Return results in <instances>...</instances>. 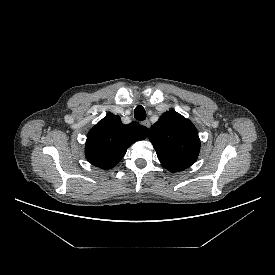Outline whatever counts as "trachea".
Here are the masks:
<instances>
[{
  "label": "trachea",
  "instance_id": "3493384b",
  "mask_svg": "<svg viewBox=\"0 0 275 275\" xmlns=\"http://www.w3.org/2000/svg\"><path fill=\"white\" fill-rule=\"evenodd\" d=\"M134 117L138 121H143L146 119V111L142 105H138L134 110Z\"/></svg>",
  "mask_w": 275,
  "mask_h": 275
}]
</instances>
